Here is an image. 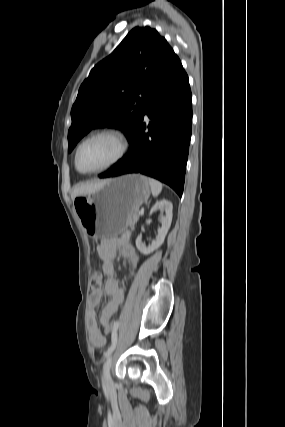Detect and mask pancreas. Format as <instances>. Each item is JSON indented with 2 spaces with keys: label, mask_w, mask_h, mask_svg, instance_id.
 Wrapping results in <instances>:
<instances>
[{
  "label": "pancreas",
  "mask_w": 285,
  "mask_h": 427,
  "mask_svg": "<svg viewBox=\"0 0 285 427\" xmlns=\"http://www.w3.org/2000/svg\"><path fill=\"white\" fill-rule=\"evenodd\" d=\"M139 218V215L136 213L132 216L131 220H130V225L129 226H133L135 224V222H137Z\"/></svg>",
  "instance_id": "obj_1"
}]
</instances>
